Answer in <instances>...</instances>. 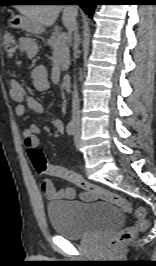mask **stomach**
Instances as JSON below:
<instances>
[{
	"mask_svg": "<svg viewBox=\"0 0 156 266\" xmlns=\"http://www.w3.org/2000/svg\"><path fill=\"white\" fill-rule=\"evenodd\" d=\"M10 25L15 28H21L33 34H39L43 32V28L40 25L23 15L14 16L10 22Z\"/></svg>",
	"mask_w": 156,
	"mask_h": 266,
	"instance_id": "0dacf381",
	"label": "stomach"
}]
</instances>
